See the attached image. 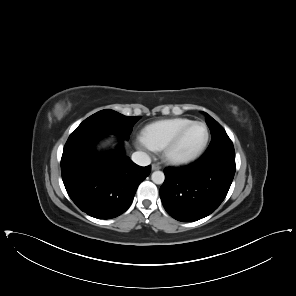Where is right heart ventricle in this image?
<instances>
[{
    "label": "right heart ventricle",
    "instance_id": "1",
    "mask_svg": "<svg viewBox=\"0 0 296 296\" xmlns=\"http://www.w3.org/2000/svg\"><path fill=\"white\" fill-rule=\"evenodd\" d=\"M191 121L188 118L159 120L146 126L142 137L153 149L160 150L179 129Z\"/></svg>",
    "mask_w": 296,
    "mask_h": 296
}]
</instances>
